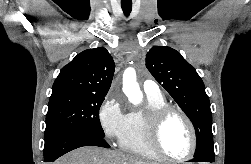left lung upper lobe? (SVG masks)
Wrapping results in <instances>:
<instances>
[{
    "mask_svg": "<svg viewBox=\"0 0 251 164\" xmlns=\"http://www.w3.org/2000/svg\"><path fill=\"white\" fill-rule=\"evenodd\" d=\"M146 67L192 121L197 136L194 157L215 158L210 102L194 67L179 52L166 46L150 49Z\"/></svg>",
    "mask_w": 251,
    "mask_h": 164,
    "instance_id": "left-lung-upper-lobe-1",
    "label": "left lung upper lobe"
}]
</instances>
